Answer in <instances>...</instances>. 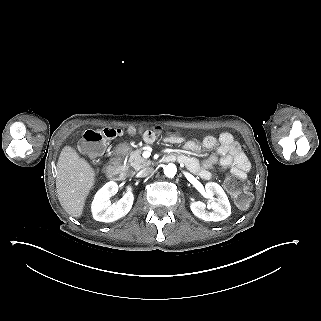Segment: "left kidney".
Segmentation results:
<instances>
[{
  "label": "left kidney",
  "instance_id": "1",
  "mask_svg": "<svg viewBox=\"0 0 321 321\" xmlns=\"http://www.w3.org/2000/svg\"><path fill=\"white\" fill-rule=\"evenodd\" d=\"M205 190L209 198L214 195L217 197L216 201H212L210 204L212 212L206 211L205 203L197 201L192 202L190 205L193 214L202 220L214 222L229 217L231 215V205L223 188L215 182H208L205 185Z\"/></svg>",
  "mask_w": 321,
  "mask_h": 321
}]
</instances>
